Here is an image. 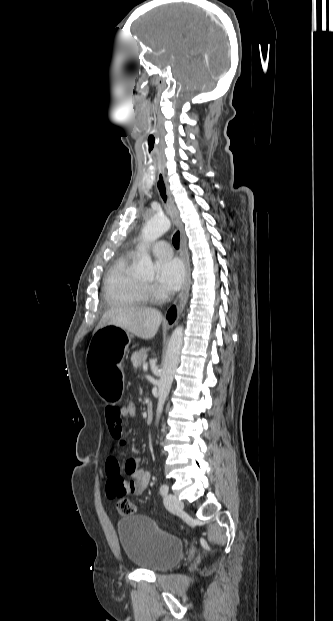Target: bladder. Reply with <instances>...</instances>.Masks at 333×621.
I'll return each instance as SVG.
<instances>
[{
  "instance_id": "31cf9c89",
  "label": "bladder",
  "mask_w": 333,
  "mask_h": 621,
  "mask_svg": "<svg viewBox=\"0 0 333 621\" xmlns=\"http://www.w3.org/2000/svg\"><path fill=\"white\" fill-rule=\"evenodd\" d=\"M117 532L125 556L140 569L165 571L183 556L181 539L162 530L146 516L130 515L120 519Z\"/></svg>"
}]
</instances>
